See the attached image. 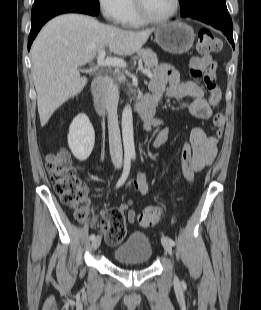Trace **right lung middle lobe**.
<instances>
[{"label": "right lung middle lobe", "mask_w": 261, "mask_h": 310, "mask_svg": "<svg viewBox=\"0 0 261 310\" xmlns=\"http://www.w3.org/2000/svg\"><path fill=\"white\" fill-rule=\"evenodd\" d=\"M58 2L78 3V4L88 5L96 9L100 8L98 0H35L33 7H32V11H35L45 5L52 4V3H58Z\"/></svg>", "instance_id": "1"}]
</instances>
